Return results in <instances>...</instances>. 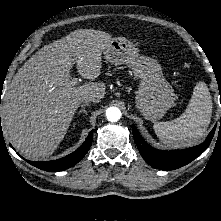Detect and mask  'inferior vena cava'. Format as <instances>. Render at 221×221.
Returning a JSON list of instances; mask_svg holds the SVG:
<instances>
[{"mask_svg":"<svg viewBox=\"0 0 221 221\" xmlns=\"http://www.w3.org/2000/svg\"><path fill=\"white\" fill-rule=\"evenodd\" d=\"M84 104H89V103H91V102H93V103H97L98 102V100H96L95 98H86V99H84L83 101H82Z\"/></svg>","mask_w":221,"mask_h":221,"instance_id":"inferior-vena-cava-1","label":"inferior vena cava"}]
</instances>
